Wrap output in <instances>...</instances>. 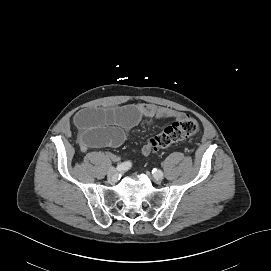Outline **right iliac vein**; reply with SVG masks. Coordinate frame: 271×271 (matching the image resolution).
Wrapping results in <instances>:
<instances>
[{"label": "right iliac vein", "mask_w": 271, "mask_h": 271, "mask_svg": "<svg viewBox=\"0 0 271 271\" xmlns=\"http://www.w3.org/2000/svg\"><path fill=\"white\" fill-rule=\"evenodd\" d=\"M108 179L111 183H114L117 180V170L114 168H111L108 171Z\"/></svg>", "instance_id": "obj_1"}]
</instances>
